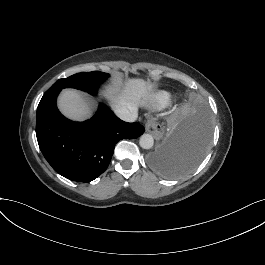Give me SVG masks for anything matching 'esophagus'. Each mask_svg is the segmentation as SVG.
Here are the masks:
<instances>
[{"instance_id": "1", "label": "esophagus", "mask_w": 265, "mask_h": 265, "mask_svg": "<svg viewBox=\"0 0 265 265\" xmlns=\"http://www.w3.org/2000/svg\"><path fill=\"white\" fill-rule=\"evenodd\" d=\"M146 131L152 134L156 139L162 138L164 134L162 126L153 120H148L146 122Z\"/></svg>"}]
</instances>
